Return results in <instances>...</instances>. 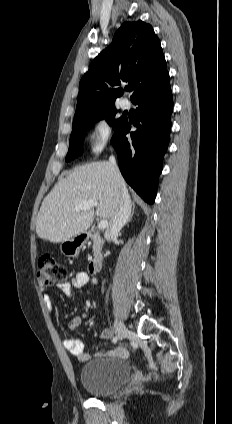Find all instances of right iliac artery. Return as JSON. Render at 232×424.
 <instances>
[{
    "instance_id": "obj_1",
    "label": "right iliac artery",
    "mask_w": 232,
    "mask_h": 424,
    "mask_svg": "<svg viewBox=\"0 0 232 424\" xmlns=\"http://www.w3.org/2000/svg\"><path fill=\"white\" fill-rule=\"evenodd\" d=\"M117 340H118V338H117V336H115V337L113 338V340H112V341H113L114 343H116V342H117Z\"/></svg>"
}]
</instances>
